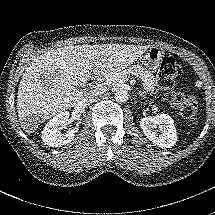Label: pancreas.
<instances>
[{
    "mask_svg": "<svg viewBox=\"0 0 215 215\" xmlns=\"http://www.w3.org/2000/svg\"><path fill=\"white\" fill-rule=\"evenodd\" d=\"M114 74H117V73L114 72ZM124 74L136 76L142 83L141 87L145 95L153 94L156 87L155 76L151 71H148L141 64L132 65L120 73V75H124Z\"/></svg>",
    "mask_w": 215,
    "mask_h": 215,
    "instance_id": "1",
    "label": "pancreas"
}]
</instances>
